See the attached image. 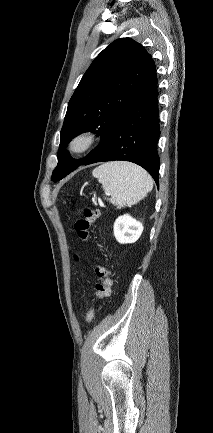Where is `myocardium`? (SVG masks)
<instances>
[{
    "instance_id": "myocardium-1",
    "label": "myocardium",
    "mask_w": 213,
    "mask_h": 433,
    "mask_svg": "<svg viewBox=\"0 0 213 433\" xmlns=\"http://www.w3.org/2000/svg\"><path fill=\"white\" fill-rule=\"evenodd\" d=\"M97 142V135L92 130H82L74 134L69 143L68 151L73 155L87 153Z\"/></svg>"
}]
</instances>
